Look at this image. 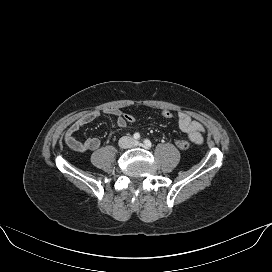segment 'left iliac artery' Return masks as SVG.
Returning <instances> with one entry per match:
<instances>
[{
    "label": "left iliac artery",
    "mask_w": 272,
    "mask_h": 272,
    "mask_svg": "<svg viewBox=\"0 0 272 272\" xmlns=\"http://www.w3.org/2000/svg\"><path fill=\"white\" fill-rule=\"evenodd\" d=\"M144 146H145L146 148H151V146H152L151 141L148 140V139H145V140H144Z\"/></svg>",
    "instance_id": "left-iliac-artery-1"
}]
</instances>
